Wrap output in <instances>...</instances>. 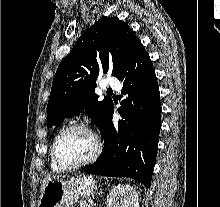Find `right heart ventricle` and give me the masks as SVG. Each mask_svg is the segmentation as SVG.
<instances>
[{
    "label": "right heart ventricle",
    "instance_id": "right-heart-ventricle-1",
    "mask_svg": "<svg viewBox=\"0 0 220 207\" xmlns=\"http://www.w3.org/2000/svg\"><path fill=\"white\" fill-rule=\"evenodd\" d=\"M50 164H51V168L55 171H58V170H61L53 161L52 159V155H51V152H50Z\"/></svg>",
    "mask_w": 220,
    "mask_h": 207
}]
</instances>
